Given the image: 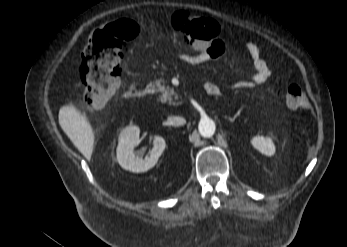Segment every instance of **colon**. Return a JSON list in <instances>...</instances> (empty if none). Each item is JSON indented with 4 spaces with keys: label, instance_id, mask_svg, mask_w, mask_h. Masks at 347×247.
Wrapping results in <instances>:
<instances>
[{
    "label": "colon",
    "instance_id": "1",
    "mask_svg": "<svg viewBox=\"0 0 347 247\" xmlns=\"http://www.w3.org/2000/svg\"><path fill=\"white\" fill-rule=\"evenodd\" d=\"M172 26L193 48H203L220 35V26L215 20L188 12L175 13ZM138 33V24L127 18L113 20L94 32L79 68L86 112L91 113L107 104L118 89L126 43ZM285 99L291 109L302 110L308 105L307 96L297 83L287 87Z\"/></svg>",
    "mask_w": 347,
    "mask_h": 247
}]
</instances>
